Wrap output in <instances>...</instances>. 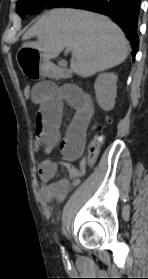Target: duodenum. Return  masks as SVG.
Returning a JSON list of instances; mask_svg holds the SVG:
<instances>
[{
    "instance_id": "1",
    "label": "duodenum",
    "mask_w": 148,
    "mask_h": 279,
    "mask_svg": "<svg viewBox=\"0 0 148 279\" xmlns=\"http://www.w3.org/2000/svg\"><path fill=\"white\" fill-rule=\"evenodd\" d=\"M58 74L63 78L70 76V72L67 69H59Z\"/></svg>"
}]
</instances>
